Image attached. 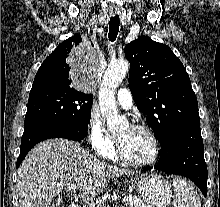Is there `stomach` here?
I'll return each mask as SVG.
<instances>
[{
	"label": "stomach",
	"mask_w": 220,
	"mask_h": 207,
	"mask_svg": "<svg viewBox=\"0 0 220 207\" xmlns=\"http://www.w3.org/2000/svg\"><path fill=\"white\" fill-rule=\"evenodd\" d=\"M144 202L152 207H167L172 198L171 185L161 175L145 174L130 178Z\"/></svg>",
	"instance_id": "stomach-1"
}]
</instances>
